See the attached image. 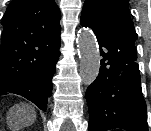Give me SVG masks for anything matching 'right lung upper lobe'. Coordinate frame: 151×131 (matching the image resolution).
Masks as SVG:
<instances>
[{
    "mask_svg": "<svg viewBox=\"0 0 151 131\" xmlns=\"http://www.w3.org/2000/svg\"><path fill=\"white\" fill-rule=\"evenodd\" d=\"M60 11L54 0H13L2 20L0 90L41 70L60 42Z\"/></svg>",
    "mask_w": 151,
    "mask_h": 131,
    "instance_id": "1",
    "label": "right lung upper lobe"
}]
</instances>
